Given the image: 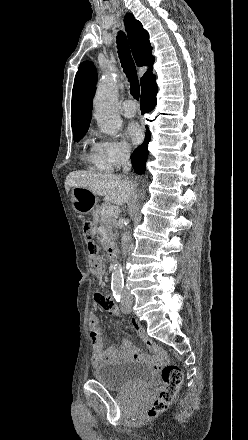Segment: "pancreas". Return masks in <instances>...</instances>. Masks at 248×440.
I'll list each match as a JSON object with an SVG mask.
<instances>
[{"instance_id": "cf45deb5", "label": "pancreas", "mask_w": 248, "mask_h": 440, "mask_svg": "<svg viewBox=\"0 0 248 440\" xmlns=\"http://www.w3.org/2000/svg\"><path fill=\"white\" fill-rule=\"evenodd\" d=\"M107 205L104 204L100 207H98L94 212L93 215L95 217L96 221H102L108 225L109 228L116 227V218L103 215V209L106 208Z\"/></svg>"}]
</instances>
